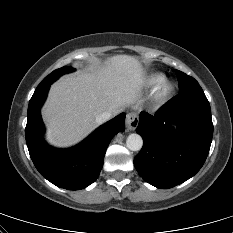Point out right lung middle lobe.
Instances as JSON below:
<instances>
[{
  "instance_id": "1",
  "label": "right lung middle lobe",
  "mask_w": 233,
  "mask_h": 233,
  "mask_svg": "<svg viewBox=\"0 0 233 233\" xmlns=\"http://www.w3.org/2000/svg\"><path fill=\"white\" fill-rule=\"evenodd\" d=\"M74 68H71L69 66H64L62 68H59L55 71H53L52 73H50L48 76H46L42 82L38 85V87L36 89L45 87L47 85H51L54 81H56L61 75L65 74V73H69L74 71Z\"/></svg>"
}]
</instances>
